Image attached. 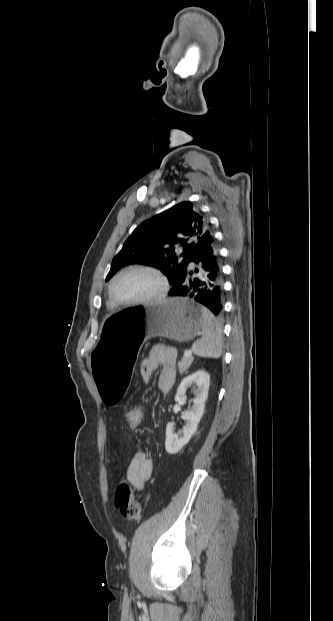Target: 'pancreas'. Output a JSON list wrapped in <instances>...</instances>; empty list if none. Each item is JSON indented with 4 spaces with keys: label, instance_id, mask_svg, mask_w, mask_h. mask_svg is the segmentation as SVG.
<instances>
[{
    "label": "pancreas",
    "instance_id": "obj_1",
    "mask_svg": "<svg viewBox=\"0 0 333 621\" xmlns=\"http://www.w3.org/2000/svg\"><path fill=\"white\" fill-rule=\"evenodd\" d=\"M193 362V357L189 356V357H183L182 360L180 362H178V369L180 374H183L184 372L187 371V369L190 367V365Z\"/></svg>",
    "mask_w": 333,
    "mask_h": 621
}]
</instances>
